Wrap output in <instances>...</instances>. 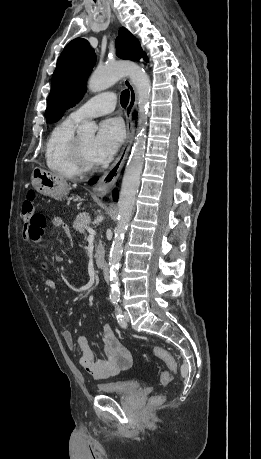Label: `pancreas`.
<instances>
[{"label":"pancreas","mask_w":261,"mask_h":459,"mask_svg":"<svg viewBox=\"0 0 261 459\" xmlns=\"http://www.w3.org/2000/svg\"><path fill=\"white\" fill-rule=\"evenodd\" d=\"M91 222L90 216L88 213H80L74 223H73V228L76 231H79L80 233H85V230L89 227V224ZM103 254V246L101 242H99L97 249H96V261L97 263L101 260Z\"/></svg>","instance_id":"cf45deb5"}]
</instances>
